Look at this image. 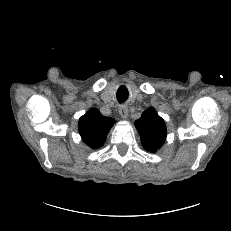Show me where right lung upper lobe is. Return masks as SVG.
<instances>
[{"label": "right lung upper lobe", "instance_id": "right-lung-upper-lobe-1", "mask_svg": "<svg viewBox=\"0 0 231 231\" xmlns=\"http://www.w3.org/2000/svg\"><path fill=\"white\" fill-rule=\"evenodd\" d=\"M113 124V118L103 116L97 109H91L79 119V133L88 146L96 149L104 144Z\"/></svg>", "mask_w": 231, "mask_h": 231}]
</instances>
